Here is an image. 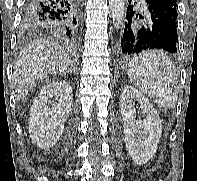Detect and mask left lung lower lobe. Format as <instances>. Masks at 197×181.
<instances>
[{
  "label": "left lung lower lobe",
  "instance_id": "0a47b994",
  "mask_svg": "<svg viewBox=\"0 0 197 181\" xmlns=\"http://www.w3.org/2000/svg\"><path fill=\"white\" fill-rule=\"evenodd\" d=\"M177 0H145L146 14H137L136 0H129L126 22L118 42V56L126 59L134 54L161 49L177 51ZM136 18L143 21L137 22Z\"/></svg>",
  "mask_w": 197,
  "mask_h": 181
}]
</instances>
